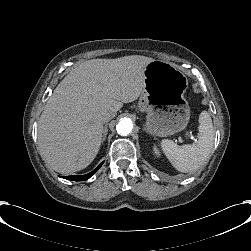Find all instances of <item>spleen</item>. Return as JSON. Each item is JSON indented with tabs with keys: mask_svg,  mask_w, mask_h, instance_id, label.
<instances>
[{
	"mask_svg": "<svg viewBox=\"0 0 251 251\" xmlns=\"http://www.w3.org/2000/svg\"><path fill=\"white\" fill-rule=\"evenodd\" d=\"M198 141L179 146L174 141L163 139L161 148L173 167L183 173L199 169L208 159L214 142V127L210 114L202 111L199 115Z\"/></svg>",
	"mask_w": 251,
	"mask_h": 251,
	"instance_id": "obj_1",
	"label": "spleen"
}]
</instances>
